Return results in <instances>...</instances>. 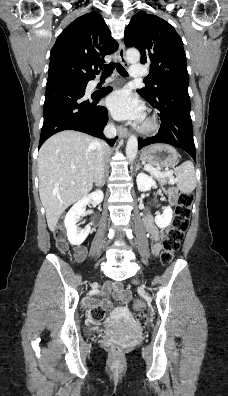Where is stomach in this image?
<instances>
[{"label": "stomach", "instance_id": "obj_1", "mask_svg": "<svg viewBox=\"0 0 228 396\" xmlns=\"http://www.w3.org/2000/svg\"><path fill=\"white\" fill-rule=\"evenodd\" d=\"M143 161L156 167H173L178 162V152L168 144L157 143L141 150Z\"/></svg>", "mask_w": 228, "mask_h": 396}]
</instances>
